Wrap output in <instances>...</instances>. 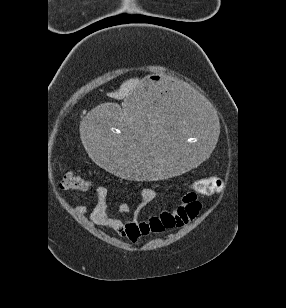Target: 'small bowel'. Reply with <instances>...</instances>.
Masks as SVG:
<instances>
[{
	"mask_svg": "<svg viewBox=\"0 0 286 308\" xmlns=\"http://www.w3.org/2000/svg\"><path fill=\"white\" fill-rule=\"evenodd\" d=\"M106 195V188L98 187L96 189L98 201L89 214L90 221L95 225L109 227L117 235L132 243H137L140 239L152 234H160L165 230L184 227L199 214L202 207L198 192L191 189L183 195L181 204L173 211H163L160 214L151 215L147 219H142L140 217L141 209L156 197L154 189L143 188L139 192L133 217L130 220H122L108 214L105 203ZM117 209L123 214L130 211L127 203H120ZM88 210L85 205L75 207V211L80 214L87 213Z\"/></svg>",
	"mask_w": 286,
	"mask_h": 308,
	"instance_id": "obj_1",
	"label": "small bowel"
}]
</instances>
